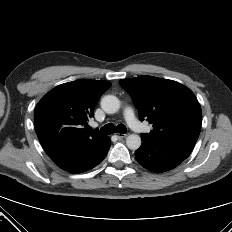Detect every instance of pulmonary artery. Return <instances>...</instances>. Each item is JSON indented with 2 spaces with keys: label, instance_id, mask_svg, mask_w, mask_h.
I'll return each instance as SVG.
<instances>
[{
  "label": "pulmonary artery",
  "instance_id": "1",
  "mask_svg": "<svg viewBox=\"0 0 232 232\" xmlns=\"http://www.w3.org/2000/svg\"><path fill=\"white\" fill-rule=\"evenodd\" d=\"M125 119L128 125L137 132H145L146 126L141 124L134 115L133 110L130 107H127L124 111Z\"/></svg>",
  "mask_w": 232,
  "mask_h": 232
}]
</instances>
